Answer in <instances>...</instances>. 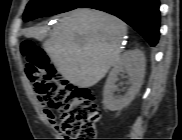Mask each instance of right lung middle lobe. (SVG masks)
Listing matches in <instances>:
<instances>
[{
  "label": "right lung middle lobe",
  "instance_id": "obj_1",
  "mask_svg": "<svg viewBox=\"0 0 182 140\" xmlns=\"http://www.w3.org/2000/svg\"><path fill=\"white\" fill-rule=\"evenodd\" d=\"M87 0H31L23 14L24 21L73 10Z\"/></svg>",
  "mask_w": 182,
  "mask_h": 140
}]
</instances>
